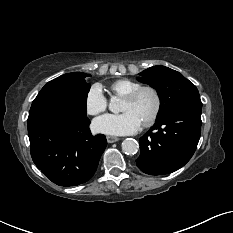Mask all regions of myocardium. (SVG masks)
Instances as JSON below:
<instances>
[{
  "label": "myocardium",
  "instance_id": "myocardium-1",
  "mask_svg": "<svg viewBox=\"0 0 233 233\" xmlns=\"http://www.w3.org/2000/svg\"><path fill=\"white\" fill-rule=\"evenodd\" d=\"M143 91H150L154 95L155 98V106L154 109L151 113V115L143 122V126L148 127L152 125L155 120L157 119L161 106H162V100L159 91L157 88L151 85H141L140 87L136 88L132 92L128 93L123 97V99L128 100V101H134L137 99V97L143 92Z\"/></svg>",
  "mask_w": 233,
  "mask_h": 233
}]
</instances>
